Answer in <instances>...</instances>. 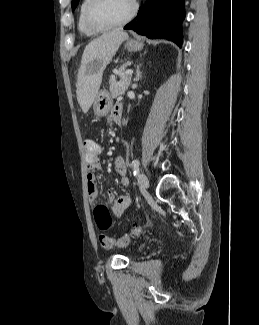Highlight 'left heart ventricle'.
Returning <instances> with one entry per match:
<instances>
[{"mask_svg":"<svg viewBox=\"0 0 259 325\" xmlns=\"http://www.w3.org/2000/svg\"><path fill=\"white\" fill-rule=\"evenodd\" d=\"M132 0H103L95 11L101 21L114 22L123 19L131 10Z\"/></svg>","mask_w":259,"mask_h":325,"instance_id":"obj_1","label":"left heart ventricle"}]
</instances>
